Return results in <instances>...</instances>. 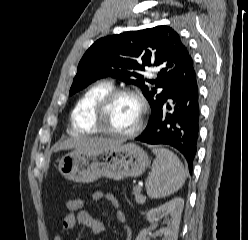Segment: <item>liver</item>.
<instances>
[{
    "label": "liver",
    "instance_id": "liver-1",
    "mask_svg": "<svg viewBox=\"0 0 248 240\" xmlns=\"http://www.w3.org/2000/svg\"><path fill=\"white\" fill-rule=\"evenodd\" d=\"M119 144H121V142L112 139L79 137L65 140L56 148V151L75 148L76 150L91 152L114 147Z\"/></svg>",
    "mask_w": 248,
    "mask_h": 240
}]
</instances>
